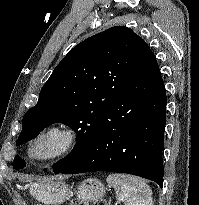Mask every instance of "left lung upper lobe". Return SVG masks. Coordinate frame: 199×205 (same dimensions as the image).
Listing matches in <instances>:
<instances>
[{
	"label": "left lung upper lobe",
	"mask_w": 199,
	"mask_h": 205,
	"mask_svg": "<svg viewBox=\"0 0 199 205\" xmlns=\"http://www.w3.org/2000/svg\"><path fill=\"white\" fill-rule=\"evenodd\" d=\"M144 43L131 29L115 26L76 45L54 69L37 104L24 115L16 145L35 138L53 123H64L77 132L78 142L51 171L58 174L72 165L92 143L105 113L122 94ZM13 167L21 169L25 161L16 156Z\"/></svg>",
	"instance_id": "left-lung-upper-lobe-1"
}]
</instances>
